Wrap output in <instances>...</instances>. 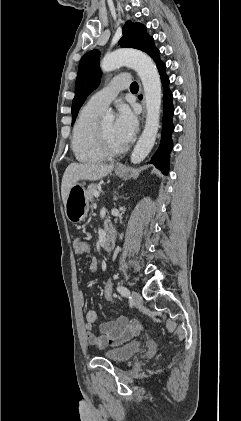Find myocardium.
Listing matches in <instances>:
<instances>
[{
  "instance_id": "myocardium-1",
  "label": "myocardium",
  "mask_w": 241,
  "mask_h": 421,
  "mask_svg": "<svg viewBox=\"0 0 241 421\" xmlns=\"http://www.w3.org/2000/svg\"><path fill=\"white\" fill-rule=\"evenodd\" d=\"M96 135L99 148L106 155V157L118 156L126 151V147L124 145L119 148L112 147L107 141L100 125L97 126Z\"/></svg>"
}]
</instances>
